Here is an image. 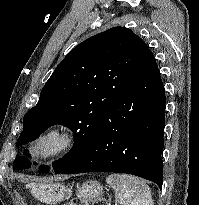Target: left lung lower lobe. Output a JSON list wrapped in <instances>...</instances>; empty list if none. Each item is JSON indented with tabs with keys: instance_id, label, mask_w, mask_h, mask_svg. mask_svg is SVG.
<instances>
[{
	"instance_id": "0a47b994",
	"label": "left lung lower lobe",
	"mask_w": 199,
	"mask_h": 205,
	"mask_svg": "<svg viewBox=\"0 0 199 205\" xmlns=\"http://www.w3.org/2000/svg\"><path fill=\"white\" fill-rule=\"evenodd\" d=\"M165 102L156 60L144 44L128 84L105 113L92 142L60 173H127L161 188Z\"/></svg>"
}]
</instances>
